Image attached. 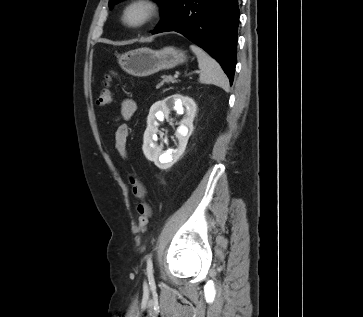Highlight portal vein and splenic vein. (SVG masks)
Returning <instances> with one entry per match:
<instances>
[{
  "label": "portal vein and splenic vein",
  "instance_id": "portal-vein-and-splenic-vein-1",
  "mask_svg": "<svg viewBox=\"0 0 363 317\" xmlns=\"http://www.w3.org/2000/svg\"><path fill=\"white\" fill-rule=\"evenodd\" d=\"M196 73H199V71H196ZM178 76H179V73L175 74L174 78H178Z\"/></svg>",
  "mask_w": 363,
  "mask_h": 317
}]
</instances>
